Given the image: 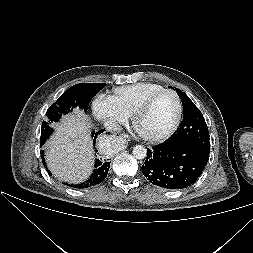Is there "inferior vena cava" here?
I'll list each match as a JSON object with an SVG mask.
<instances>
[{
  "label": "inferior vena cava",
  "instance_id": "602c4592",
  "mask_svg": "<svg viewBox=\"0 0 253 253\" xmlns=\"http://www.w3.org/2000/svg\"><path fill=\"white\" fill-rule=\"evenodd\" d=\"M104 126L109 131H121L122 127L115 120L108 119L105 121Z\"/></svg>",
  "mask_w": 253,
  "mask_h": 253
}]
</instances>
